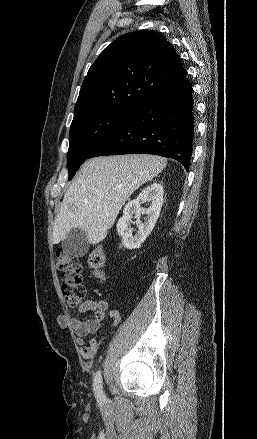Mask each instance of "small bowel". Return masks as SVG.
Wrapping results in <instances>:
<instances>
[{
    "mask_svg": "<svg viewBox=\"0 0 257 439\" xmlns=\"http://www.w3.org/2000/svg\"><path fill=\"white\" fill-rule=\"evenodd\" d=\"M78 311L80 313L93 312V317L87 320L71 319V325L78 336L77 344L81 347V354L85 359H92L96 356L99 344L95 339H91L88 343L85 341V336L96 333L102 322L105 320L107 315L111 319L113 325H116L120 321V315L117 311H109L108 303L105 301H99L94 299H89L83 302L79 307Z\"/></svg>",
    "mask_w": 257,
    "mask_h": 439,
    "instance_id": "obj_1",
    "label": "small bowel"
}]
</instances>
